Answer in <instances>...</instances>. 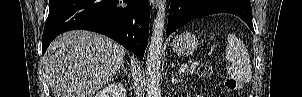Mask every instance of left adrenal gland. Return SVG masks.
<instances>
[{"label":"left adrenal gland","instance_id":"1","mask_svg":"<svg viewBox=\"0 0 302 97\" xmlns=\"http://www.w3.org/2000/svg\"><path fill=\"white\" fill-rule=\"evenodd\" d=\"M171 82H172L173 85H175V84L181 82V80L179 78H177V76L174 73H172V80H171Z\"/></svg>","mask_w":302,"mask_h":97}]
</instances>
